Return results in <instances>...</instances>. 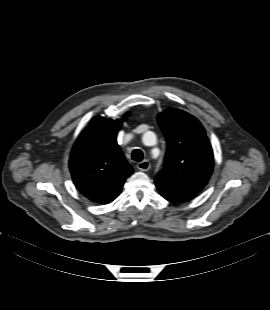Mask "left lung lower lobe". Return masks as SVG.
<instances>
[{
	"mask_svg": "<svg viewBox=\"0 0 270 310\" xmlns=\"http://www.w3.org/2000/svg\"><path fill=\"white\" fill-rule=\"evenodd\" d=\"M160 194L170 202H185L195 197L200 191L172 187L161 182H155Z\"/></svg>",
	"mask_w": 270,
	"mask_h": 310,
	"instance_id": "obj_1",
	"label": "left lung lower lobe"
}]
</instances>
